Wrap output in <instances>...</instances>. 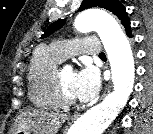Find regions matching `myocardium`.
<instances>
[{"mask_svg": "<svg viewBox=\"0 0 153 134\" xmlns=\"http://www.w3.org/2000/svg\"><path fill=\"white\" fill-rule=\"evenodd\" d=\"M54 82H55L56 92H57V95H58L60 101L63 104H74L76 102V100L74 98L70 97L69 95H67V93L65 92L63 85L57 75H55Z\"/></svg>", "mask_w": 153, "mask_h": 134, "instance_id": "1", "label": "myocardium"}]
</instances>
